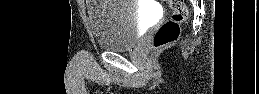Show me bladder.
I'll return each instance as SVG.
<instances>
[{
  "mask_svg": "<svg viewBox=\"0 0 259 94\" xmlns=\"http://www.w3.org/2000/svg\"><path fill=\"white\" fill-rule=\"evenodd\" d=\"M87 15L96 44L100 49L111 52L134 48L145 24L135 0L88 1Z\"/></svg>",
  "mask_w": 259,
  "mask_h": 94,
  "instance_id": "obj_1",
  "label": "bladder"
}]
</instances>
